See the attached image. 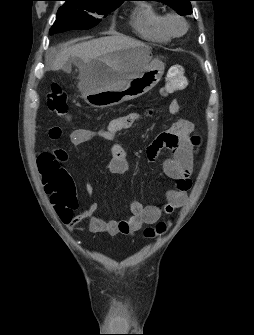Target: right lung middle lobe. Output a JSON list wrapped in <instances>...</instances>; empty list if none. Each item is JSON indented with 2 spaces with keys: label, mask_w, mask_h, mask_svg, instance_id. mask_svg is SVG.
<instances>
[{
  "label": "right lung middle lobe",
  "mask_w": 254,
  "mask_h": 335,
  "mask_svg": "<svg viewBox=\"0 0 254 335\" xmlns=\"http://www.w3.org/2000/svg\"><path fill=\"white\" fill-rule=\"evenodd\" d=\"M66 1L57 12V18L49 34L74 29H90L99 23L92 14L106 15L116 9L120 3H104L88 0Z\"/></svg>",
  "instance_id": "right-lung-middle-lobe-1"
}]
</instances>
